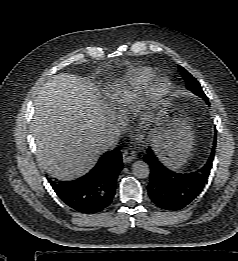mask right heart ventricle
I'll return each instance as SVG.
<instances>
[{"mask_svg": "<svg viewBox=\"0 0 238 261\" xmlns=\"http://www.w3.org/2000/svg\"><path fill=\"white\" fill-rule=\"evenodd\" d=\"M154 76L155 72L151 68L142 67L118 84L110 94V102L114 111L116 113H122L128 109H132Z\"/></svg>", "mask_w": 238, "mask_h": 261, "instance_id": "1", "label": "right heart ventricle"}]
</instances>
